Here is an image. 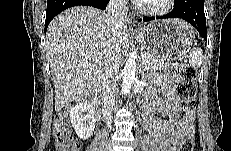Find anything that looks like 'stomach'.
Returning a JSON list of instances; mask_svg holds the SVG:
<instances>
[{
  "label": "stomach",
  "instance_id": "1",
  "mask_svg": "<svg viewBox=\"0 0 231 151\" xmlns=\"http://www.w3.org/2000/svg\"><path fill=\"white\" fill-rule=\"evenodd\" d=\"M139 43L152 55L173 61L186 54L190 40L174 20L154 21L137 32Z\"/></svg>",
  "mask_w": 231,
  "mask_h": 151
}]
</instances>
